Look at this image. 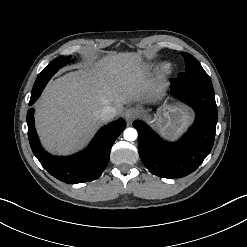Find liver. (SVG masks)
Instances as JSON below:
<instances>
[{"instance_id":"6515ba94","label":"liver","mask_w":247,"mask_h":247,"mask_svg":"<svg viewBox=\"0 0 247 247\" xmlns=\"http://www.w3.org/2000/svg\"><path fill=\"white\" fill-rule=\"evenodd\" d=\"M137 53L107 55L94 65L70 72L51 82L35 103L36 129L51 153L71 154L80 149L101 124L99 113L158 95Z\"/></svg>"}]
</instances>
